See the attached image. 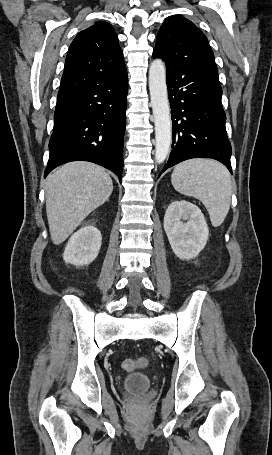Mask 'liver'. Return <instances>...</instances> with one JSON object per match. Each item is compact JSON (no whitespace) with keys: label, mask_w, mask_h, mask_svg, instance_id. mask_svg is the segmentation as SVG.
I'll list each match as a JSON object with an SVG mask.
<instances>
[{"label":"liver","mask_w":272,"mask_h":455,"mask_svg":"<svg viewBox=\"0 0 272 455\" xmlns=\"http://www.w3.org/2000/svg\"><path fill=\"white\" fill-rule=\"evenodd\" d=\"M113 191L109 174L89 162L67 163L46 180V213L51 240L63 243L80 223L105 203Z\"/></svg>","instance_id":"6515ba94"}]
</instances>
